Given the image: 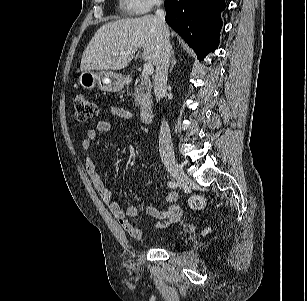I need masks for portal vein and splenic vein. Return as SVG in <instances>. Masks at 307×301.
I'll use <instances>...</instances> for the list:
<instances>
[{
    "mask_svg": "<svg viewBox=\"0 0 307 301\" xmlns=\"http://www.w3.org/2000/svg\"><path fill=\"white\" fill-rule=\"evenodd\" d=\"M136 50H132V51H126V52H114L113 55L114 56H118V55H130V54H135ZM154 72V67L152 65V63L150 62H146L143 66V74L146 76L152 75Z\"/></svg>",
    "mask_w": 307,
    "mask_h": 301,
    "instance_id": "obj_1",
    "label": "portal vein and splenic vein"
}]
</instances>
